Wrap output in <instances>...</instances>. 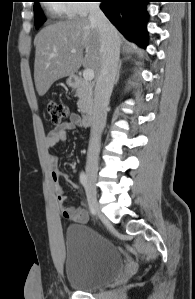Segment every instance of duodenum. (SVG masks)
Segmentation results:
<instances>
[{
  "mask_svg": "<svg viewBox=\"0 0 195 299\" xmlns=\"http://www.w3.org/2000/svg\"><path fill=\"white\" fill-rule=\"evenodd\" d=\"M70 83L72 85V87L74 88H91L90 86H87L84 84L83 80L79 77V76H71L70 78ZM97 115V110L93 107L89 108L81 117H80V121L82 123L83 126H90L94 123L95 118Z\"/></svg>",
  "mask_w": 195,
  "mask_h": 299,
  "instance_id": "obj_1",
  "label": "duodenum"
}]
</instances>
